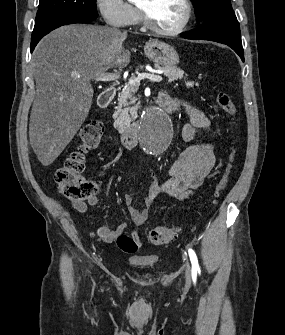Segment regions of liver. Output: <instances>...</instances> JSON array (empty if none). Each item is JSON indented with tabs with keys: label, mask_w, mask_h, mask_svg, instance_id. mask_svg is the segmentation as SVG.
Listing matches in <instances>:
<instances>
[{
	"label": "liver",
	"mask_w": 285,
	"mask_h": 335,
	"mask_svg": "<svg viewBox=\"0 0 285 335\" xmlns=\"http://www.w3.org/2000/svg\"><path fill=\"white\" fill-rule=\"evenodd\" d=\"M126 38L117 28L72 24L53 30L36 46L29 138L42 166L60 156L85 122L93 102L91 80L128 66Z\"/></svg>",
	"instance_id": "obj_1"
}]
</instances>
